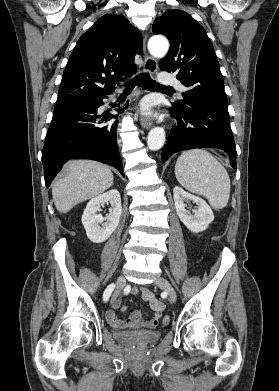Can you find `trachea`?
<instances>
[{
	"label": "trachea",
	"mask_w": 279,
	"mask_h": 391,
	"mask_svg": "<svg viewBox=\"0 0 279 391\" xmlns=\"http://www.w3.org/2000/svg\"><path fill=\"white\" fill-rule=\"evenodd\" d=\"M137 83L147 90L173 89L170 86H163L152 80L148 73H141L126 83L125 91L132 90Z\"/></svg>",
	"instance_id": "1"
}]
</instances>
